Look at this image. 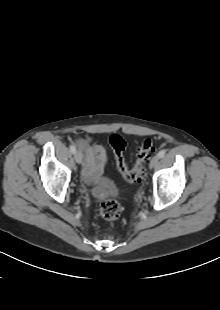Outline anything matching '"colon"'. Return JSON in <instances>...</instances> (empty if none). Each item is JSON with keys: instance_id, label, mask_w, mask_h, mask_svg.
<instances>
[{"instance_id": "1", "label": "colon", "mask_w": 220, "mask_h": 310, "mask_svg": "<svg viewBox=\"0 0 220 310\" xmlns=\"http://www.w3.org/2000/svg\"><path fill=\"white\" fill-rule=\"evenodd\" d=\"M110 145L114 150L118 169L124 179L129 183L141 182L144 175V162L154 149L152 140H142L131 168L128 167L124 156L126 148L125 140L120 135L115 134L110 137ZM121 213V205L114 199L105 200L99 208L100 216L106 220H116L121 216Z\"/></svg>"}]
</instances>
